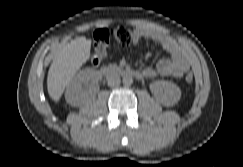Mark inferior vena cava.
I'll use <instances>...</instances> for the list:
<instances>
[{"instance_id":"602c4592","label":"inferior vena cava","mask_w":243,"mask_h":167,"mask_svg":"<svg viewBox=\"0 0 243 167\" xmlns=\"http://www.w3.org/2000/svg\"><path fill=\"white\" fill-rule=\"evenodd\" d=\"M108 86L114 87L120 85V78L118 76H110L107 79Z\"/></svg>"}]
</instances>
